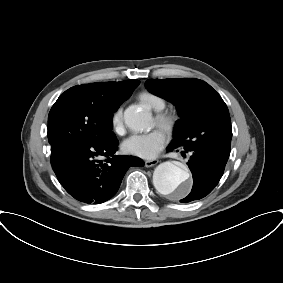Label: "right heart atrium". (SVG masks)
<instances>
[{
    "mask_svg": "<svg viewBox=\"0 0 283 283\" xmlns=\"http://www.w3.org/2000/svg\"><path fill=\"white\" fill-rule=\"evenodd\" d=\"M111 124L113 130L117 134H122L124 131V115H123V107H118L112 114Z\"/></svg>",
    "mask_w": 283,
    "mask_h": 283,
    "instance_id": "obj_1",
    "label": "right heart atrium"
}]
</instances>
